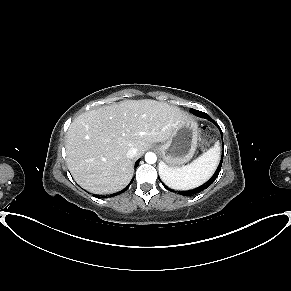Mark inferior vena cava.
<instances>
[{
	"label": "inferior vena cava",
	"mask_w": 291,
	"mask_h": 291,
	"mask_svg": "<svg viewBox=\"0 0 291 291\" xmlns=\"http://www.w3.org/2000/svg\"><path fill=\"white\" fill-rule=\"evenodd\" d=\"M137 151H138L137 148L132 147L127 151L126 155H127L128 158L132 159L137 155Z\"/></svg>",
	"instance_id": "602c4592"
}]
</instances>
